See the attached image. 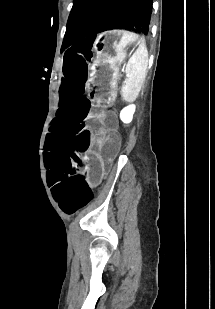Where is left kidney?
I'll return each instance as SVG.
<instances>
[{"label":"left kidney","mask_w":215,"mask_h":309,"mask_svg":"<svg viewBox=\"0 0 215 309\" xmlns=\"http://www.w3.org/2000/svg\"><path fill=\"white\" fill-rule=\"evenodd\" d=\"M135 110V104H128V106H124V108L120 110V118L122 122H131Z\"/></svg>","instance_id":"left-kidney-1"}]
</instances>
